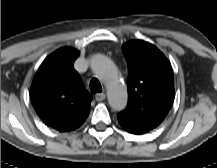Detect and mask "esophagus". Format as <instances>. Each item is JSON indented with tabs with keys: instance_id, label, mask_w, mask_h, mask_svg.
Segmentation results:
<instances>
[{
	"instance_id": "1",
	"label": "esophagus",
	"mask_w": 217,
	"mask_h": 168,
	"mask_svg": "<svg viewBox=\"0 0 217 168\" xmlns=\"http://www.w3.org/2000/svg\"><path fill=\"white\" fill-rule=\"evenodd\" d=\"M105 98H106L105 93H97V94L95 95V99H96V101H98V102L103 101Z\"/></svg>"
}]
</instances>
